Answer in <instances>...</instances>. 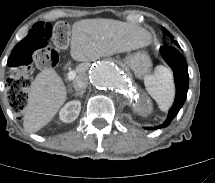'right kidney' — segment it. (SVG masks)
I'll return each mask as SVG.
<instances>
[{
    "mask_svg": "<svg viewBox=\"0 0 215 183\" xmlns=\"http://www.w3.org/2000/svg\"><path fill=\"white\" fill-rule=\"evenodd\" d=\"M81 110V102L78 100L70 101L59 112V118L65 123L73 122L77 119Z\"/></svg>",
    "mask_w": 215,
    "mask_h": 183,
    "instance_id": "obj_1",
    "label": "right kidney"
}]
</instances>
